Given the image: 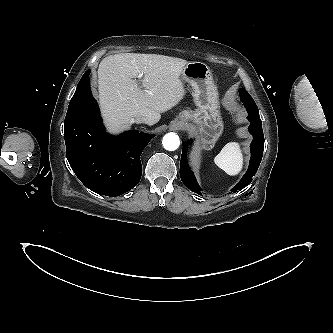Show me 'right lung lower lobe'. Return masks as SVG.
<instances>
[{
    "label": "right lung lower lobe",
    "instance_id": "98d812e1",
    "mask_svg": "<svg viewBox=\"0 0 333 333\" xmlns=\"http://www.w3.org/2000/svg\"><path fill=\"white\" fill-rule=\"evenodd\" d=\"M88 76L76 90L65 117L67 159L88 189L106 196H119L139 183L140 155L154 135L135 130L119 137L107 134Z\"/></svg>",
    "mask_w": 333,
    "mask_h": 333
}]
</instances>
